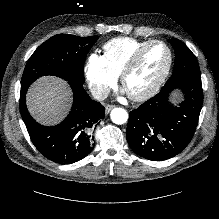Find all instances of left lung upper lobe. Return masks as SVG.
Here are the masks:
<instances>
[{"mask_svg": "<svg viewBox=\"0 0 219 219\" xmlns=\"http://www.w3.org/2000/svg\"><path fill=\"white\" fill-rule=\"evenodd\" d=\"M168 42L175 51V66L172 76L166 83L185 74L200 75L198 61L191 50L178 39H170Z\"/></svg>", "mask_w": 219, "mask_h": 219, "instance_id": "1", "label": "left lung upper lobe"}]
</instances>
